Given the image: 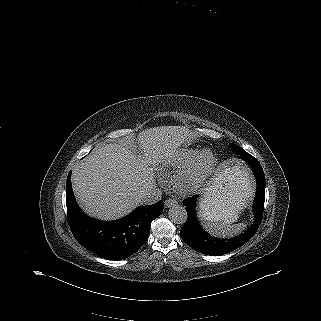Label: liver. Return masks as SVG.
Segmentation results:
<instances>
[{
    "instance_id": "1",
    "label": "liver",
    "mask_w": 321,
    "mask_h": 321,
    "mask_svg": "<svg viewBox=\"0 0 321 321\" xmlns=\"http://www.w3.org/2000/svg\"><path fill=\"white\" fill-rule=\"evenodd\" d=\"M192 138L193 132L184 126H161L138 135L137 143L143 154L126 143L99 146L73 169L72 187L77 202L87 214L98 219L125 216L155 186L149 165L159 155Z\"/></svg>"
}]
</instances>
